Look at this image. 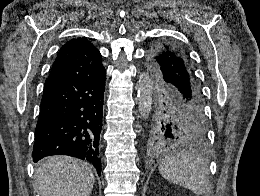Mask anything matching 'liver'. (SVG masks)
<instances>
[{
  "label": "liver",
  "mask_w": 260,
  "mask_h": 196,
  "mask_svg": "<svg viewBox=\"0 0 260 196\" xmlns=\"http://www.w3.org/2000/svg\"><path fill=\"white\" fill-rule=\"evenodd\" d=\"M95 178L86 162L50 156L37 164L34 190L40 196H90Z\"/></svg>",
  "instance_id": "6515ba94"
}]
</instances>
